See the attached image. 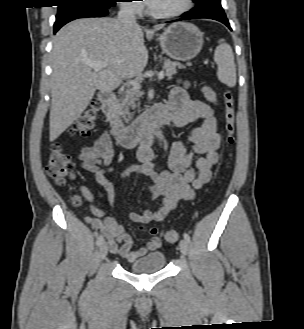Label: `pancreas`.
Wrapping results in <instances>:
<instances>
[{"mask_svg": "<svg viewBox=\"0 0 304 329\" xmlns=\"http://www.w3.org/2000/svg\"><path fill=\"white\" fill-rule=\"evenodd\" d=\"M165 66V75L168 79H171L174 74L177 73L176 68H184V66L181 63L170 61L169 59H166L164 61ZM142 96V93L135 88L127 89L121 99L118 101L117 109L119 113L123 116V118L126 121H129L131 114L129 110L132 108L134 109L136 107V101L139 100V98Z\"/></svg>", "mask_w": 304, "mask_h": 329, "instance_id": "cf45deb5", "label": "pancreas"}]
</instances>
